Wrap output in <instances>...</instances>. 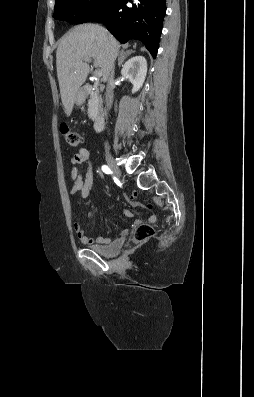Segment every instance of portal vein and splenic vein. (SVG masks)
Returning <instances> with one entry per match:
<instances>
[{"mask_svg":"<svg viewBox=\"0 0 254 397\" xmlns=\"http://www.w3.org/2000/svg\"><path fill=\"white\" fill-rule=\"evenodd\" d=\"M85 62H91V59H87V60H85ZM101 76H102V71L101 70H95L94 71V78L95 79H97V78H99Z\"/></svg>","mask_w":254,"mask_h":397,"instance_id":"portal-vein-and-splenic-vein-1","label":"portal vein and splenic vein"}]
</instances>
